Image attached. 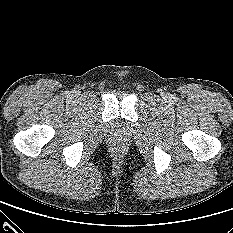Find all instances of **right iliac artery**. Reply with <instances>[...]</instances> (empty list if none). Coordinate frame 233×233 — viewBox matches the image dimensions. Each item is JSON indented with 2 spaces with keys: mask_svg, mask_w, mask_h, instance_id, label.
Segmentation results:
<instances>
[{
  "mask_svg": "<svg viewBox=\"0 0 233 233\" xmlns=\"http://www.w3.org/2000/svg\"><path fill=\"white\" fill-rule=\"evenodd\" d=\"M65 94H66V95H69V92H66Z\"/></svg>",
  "mask_w": 233,
  "mask_h": 233,
  "instance_id": "obj_1",
  "label": "right iliac artery"
}]
</instances>
